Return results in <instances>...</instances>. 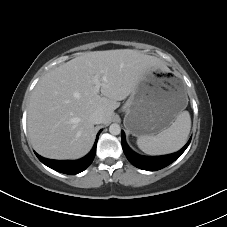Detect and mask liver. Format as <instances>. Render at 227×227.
I'll list each match as a JSON object with an SVG mask.
<instances>
[{"label": "liver", "instance_id": "obj_1", "mask_svg": "<svg viewBox=\"0 0 227 227\" xmlns=\"http://www.w3.org/2000/svg\"><path fill=\"white\" fill-rule=\"evenodd\" d=\"M150 69L167 71L160 59L131 49L84 53L46 73L34 88L27 116L33 148L51 159H78L95 140L90 116L103 113L111 121L119 102L136 88ZM100 81L95 90L93 78Z\"/></svg>", "mask_w": 227, "mask_h": 227}]
</instances>
